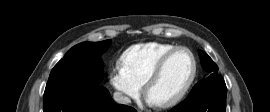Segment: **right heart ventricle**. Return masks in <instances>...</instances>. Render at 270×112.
I'll return each instance as SVG.
<instances>
[{"label": "right heart ventricle", "mask_w": 270, "mask_h": 112, "mask_svg": "<svg viewBox=\"0 0 270 112\" xmlns=\"http://www.w3.org/2000/svg\"><path fill=\"white\" fill-rule=\"evenodd\" d=\"M175 47L173 44L161 42L134 45L123 54V65L131 76L143 85L158 61Z\"/></svg>", "instance_id": "right-heart-ventricle-1"}]
</instances>
